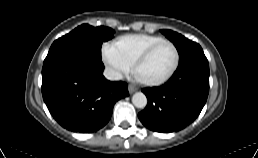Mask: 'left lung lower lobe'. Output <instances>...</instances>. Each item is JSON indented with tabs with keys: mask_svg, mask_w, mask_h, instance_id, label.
Returning <instances> with one entry per match:
<instances>
[{
	"mask_svg": "<svg viewBox=\"0 0 258 158\" xmlns=\"http://www.w3.org/2000/svg\"><path fill=\"white\" fill-rule=\"evenodd\" d=\"M209 64L200 46L180 60L170 80L161 87L144 89L146 108L140 121L157 132H172L190 124L201 112L209 93Z\"/></svg>",
	"mask_w": 258,
	"mask_h": 158,
	"instance_id": "left-lung-lower-lobe-1",
	"label": "left lung lower lobe"
}]
</instances>
